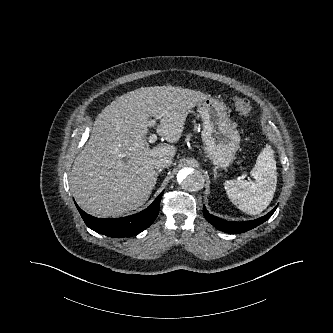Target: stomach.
Returning a JSON list of instances; mask_svg holds the SVG:
<instances>
[{"mask_svg":"<svg viewBox=\"0 0 333 333\" xmlns=\"http://www.w3.org/2000/svg\"><path fill=\"white\" fill-rule=\"evenodd\" d=\"M197 106L203 121L201 137L205 153L215 167L225 169L235 158L240 135L223 102L207 97Z\"/></svg>","mask_w":333,"mask_h":333,"instance_id":"stomach-1","label":"stomach"}]
</instances>
